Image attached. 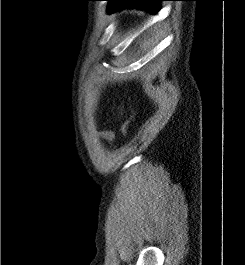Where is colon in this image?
I'll use <instances>...</instances> for the list:
<instances>
[{"mask_svg": "<svg viewBox=\"0 0 245 265\" xmlns=\"http://www.w3.org/2000/svg\"><path fill=\"white\" fill-rule=\"evenodd\" d=\"M131 122V119H128L127 121H125L121 127V131L123 134H126L127 133V130H128V126Z\"/></svg>", "mask_w": 245, "mask_h": 265, "instance_id": "colon-1", "label": "colon"}]
</instances>
